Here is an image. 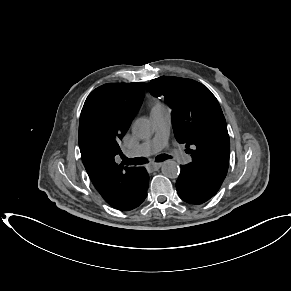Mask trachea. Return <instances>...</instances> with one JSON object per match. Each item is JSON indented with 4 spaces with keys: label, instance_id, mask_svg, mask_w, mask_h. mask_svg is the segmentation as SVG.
<instances>
[{
    "label": "trachea",
    "instance_id": "trachea-1",
    "mask_svg": "<svg viewBox=\"0 0 291 291\" xmlns=\"http://www.w3.org/2000/svg\"><path fill=\"white\" fill-rule=\"evenodd\" d=\"M171 156L167 155V154H161L158 155L155 159L156 162H163L167 159H170ZM123 164L124 165H141V164H145L147 163V159L143 158V157H137V158H133V159H128L126 157H123Z\"/></svg>",
    "mask_w": 291,
    "mask_h": 291
}]
</instances>
